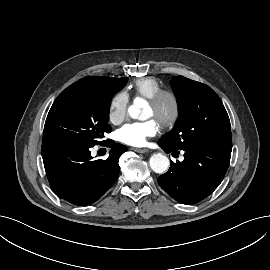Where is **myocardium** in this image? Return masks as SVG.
Masks as SVG:
<instances>
[{
    "instance_id": "obj_1",
    "label": "myocardium",
    "mask_w": 270,
    "mask_h": 270,
    "mask_svg": "<svg viewBox=\"0 0 270 270\" xmlns=\"http://www.w3.org/2000/svg\"><path fill=\"white\" fill-rule=\"evenodd\" d=\"M165 101L170 102L171 110L169 114L162 115L160 114V110ZM148 102L156 111V119L162 127L170 128L177 123L180 117L181 104L178 95L174 91L162 89L155 93L152 97L148 98Z\"/></svg>"
}]
</instances>
